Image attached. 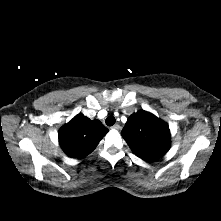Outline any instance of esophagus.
Here are the masks:
<instances>
[{
    "instance_id": "obj_1",
    "label": "esophagus",
    "mask_w": 221,
    "mask_h": 221,
    "mask_svg": "<svg viewBox=\"0 0 221 221\" xmlns=\"http://www.w3.org/2000/svg\"><path fill=\"white\" fill-rule=\"evenodd\" d=\"M113 130H120L121 126L119 124H115L111 127Z\"/></svg>"
}]
</instances>
